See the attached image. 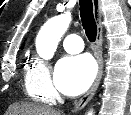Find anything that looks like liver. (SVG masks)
<instances>
[{"mask_svg":"<svg viewBox=\"0 0 131 115\" xmlns=\"http://www.w3.org/2000/svg\"><path fill=\"white\" fill-rule=\"evenodd\" d=\"M7 115H60L59 112L47 106L36 104H14L12 105Z\"/></svg>","mask_w":131,"mask_h":115,"instance_id":"1","label":"liver"}]
</instances>
